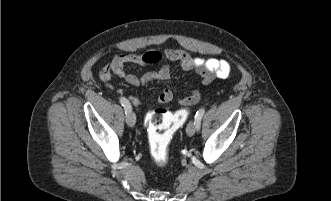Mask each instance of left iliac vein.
<instances>
[{
	"instance_id": "4c4485c4",
	"label": "left iliac vein",
	"mask_w": 331,
	"mask_h": 201,
	"mask_svg": "<svg viewBox=\"0 0 331 201\" xmlns=\"http://www.w3.org/2000/svg\"><path fill=\"white\" fill-rule=\"evenodd\" d=\"M196 130H197V125H196L195 120L190 121L187 125V128H186L187 135L188 136H193L195 134Z\"/></svg>"
}]
</instances>
